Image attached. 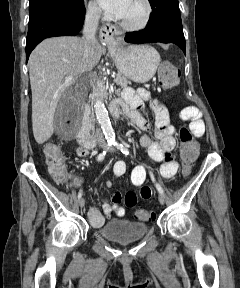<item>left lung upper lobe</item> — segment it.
<instances>
[{
	"mask_svg": "<svg viewBox=\"0 0 240 288\" xmlns=\"http://www.w3.org/2000/svg\"><path fill=\"white\" fill-rule=\"evenodd\" d=\"M149 2L152 7V15L163 8H171L175 11H179L178 0H149Z\"/></svg>",
	"mask_w": 240,
	"mask_h": 288,
	"instance_id": "left-lung-upper-lobe-1",
	"label": "left lung upper lobe"
}]
</instances>
